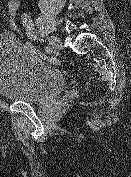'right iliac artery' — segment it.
I'll return each mask as SVG.
<instances>
[{
  "label": "right iliac artery",
  "mask_w": 131,
  "mask_h": 177,
  "mask_svg": "<svg viewBox=\"0 0 131 177\" xmlns=\"http://www.w3.org/2000/svg\"><path fill=\"white\" fill-rule=\"evenodd\" d=\"M21 18H22V23H23V26L26 30V34L28 35V37L32 40H36L37 35L35 32L34 24H33L31 17L27 13H23ZM45 52L51 53L52 48L50 46L45 47Z\"/></svg>",
  "instance_id": "1"
}]
</instances>
